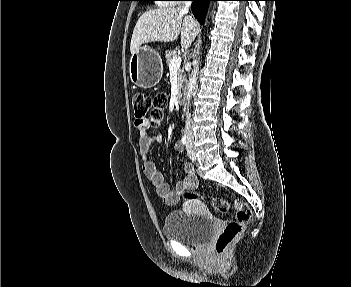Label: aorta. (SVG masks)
I'll list each match as a JSON object with an SVG mask.
<instances>
[{
	"instance_id": "762f6f07",
	"label": "aorta",
	"mask_w": 351,
	"mask_h": 287,
	"mask_svg": "<svg viewBox=\"0 0 351 287\" xmlns=\"http://www.w3.org/2000/svg\"><path fill=\"white\" fill-rule=\"evenodd\" d=\"M199 72V67H198V62L195 61V66L194 69L191 72V75L189 77V81L187 84L188 92H187V100L189 103V100L192 96L193 90L195 89L196 83H197V76Z\"/></svg>"
}]
</instances>
